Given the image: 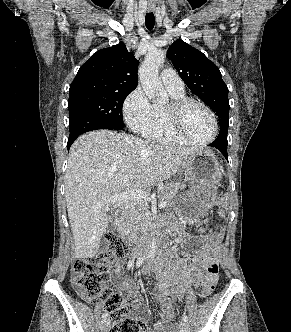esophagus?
<instances>
[{"label":"esophagus","mask_w":291,"mask_h":332,"mask_svg":"<svg viewBox=\"0 0 291 332\" xmlns=\"http://www.w3.org/2000/svg\"><path fill=\"white\" fill-rule=\"evenodd\" d=\"M155 10V6H154V4H149L148 5V11L149 12H152V11H154Z\"/></svg>","instance_id":"obj_1"}]
</instances>
